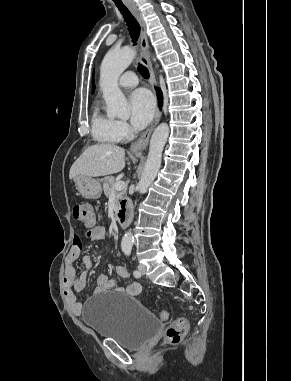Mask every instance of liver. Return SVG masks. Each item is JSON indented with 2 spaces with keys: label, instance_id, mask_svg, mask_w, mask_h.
Wrapping results in <instances>:
<instances>
[{
  "label": "liver",
  "instance_id": "liver-1",
  "mask_svg": "<svg viewBox=\"0 0 291 381\" xmlns=\"http://www.w3.org/2000/svg\"><path fill=\"white\" fill-rule=\"evenodd\" d=\"M125 166V150L114 144H96L88 147L73 163L69 178L78 175L99 177L120 172Z\"/></svg>",
  "mask_w": 291,
  "mask_h": 381
}]
</instances>
